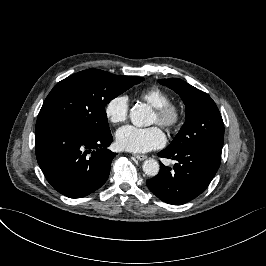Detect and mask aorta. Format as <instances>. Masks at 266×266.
Masks as SVG:
<instances>
[{"instance_id": "1", "label": "aorta", "mask_w": 266, "mask_h": 266, "mask_svg": "<svg viewBox=\"0 0 266 266\" xmlns=\"http://www.w3.org/2000/svg\"><path fill=\"white\" fill-rule=\"evenodd\" d=\"M151 110L146 104H136L130 110V119L133 125L137 127L149 126L153 123ZM143 172L148 176H156L159 173L160 166L155 159H147L142 165Z\"/></svg>"}]
</instances>
